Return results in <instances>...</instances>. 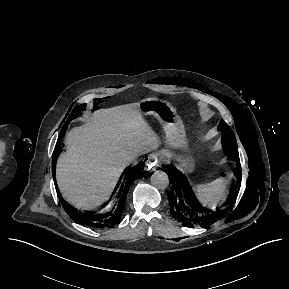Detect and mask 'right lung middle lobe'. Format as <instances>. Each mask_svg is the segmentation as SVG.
<instances>
[{"label": "right lung middle lobe", "mask_w": 289, "mask_h": 289, "mask_svg": "<svg viewBox=\"0 0 289 289\" xmlns=\"http://www.w3.org/2000/svg\"><path fill=\"white\" fill-rule=\"evenodd\" d=\"M85 107H86V104H82V105H79V106H76L73 111L71 112L68 120L66 121V123L64 124V126H68L69 122L74 119V118H77V115H80L82 114L81 111L85 110ZM63 126V127H64Z\"/></svg>", "instance_id": "obj_1"}]
</instances>
